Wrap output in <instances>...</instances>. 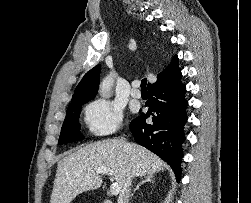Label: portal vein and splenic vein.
<instances>
[{"instance_id":"portal-vein-and-splenic-vein-1","label":"portal vein and splenic vein","mask_w":251,"mask_h":203,"mask_svg":"<svg viewBox=\"0 0 251 203\" xmlns=\"http://www.w3.org/2000/svg\"><path fill=\"white\" fill-rule=\"evenodd\" d=\"M96 174H106L112 176V170L108 167H99L95 169ZM121 190V187L118 183H112L110 186V192L112 195H118Z\"/></svg>"}]
</instances>
